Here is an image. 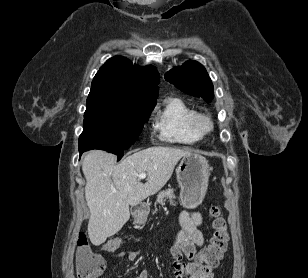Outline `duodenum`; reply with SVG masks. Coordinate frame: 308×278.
<instances>
[{
  "instance_id": "410a0bca",
  "label": "duodenum",
  "mask_w": 308,
  "mask_h": 278,
  "mask_svg": "<svg viewBox=\"0 0 308 278\" xmlns=\"http://www.w3.org/2000/svg\"><path fill=\"white\" fill-rule=\"evenodd\" d=\"M148 211V205L146 203H140L135 207L134 218L136 221H140L144 218Z\"/></svg>"
}]
</instances>
